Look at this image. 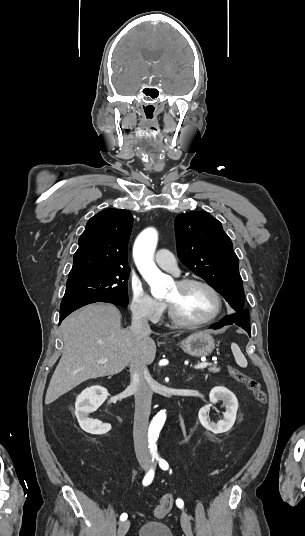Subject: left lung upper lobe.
<instances>
[{
  "label": "left lung upper lobe",
  "mask_w": 305,
  "mask_h": 536,
  "mask_svg": "<svg viewBox=\"0 0 305 536\" xmlns=\"http://www.w3.org/2000/svg\"><path fill=\"white\" fill-rule=\"evenodd\" d=\"M175 231L181 262L218 291L234 310H242L239 259L221 223L205 211H193L176 217Z\"/></svg>",
  "instance_id": "left-lung-upper-lobe-1"
}]
</instances>
